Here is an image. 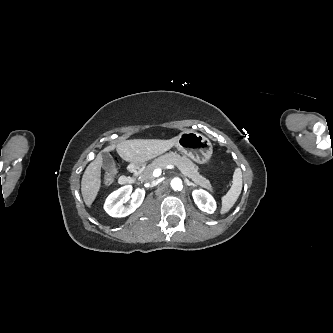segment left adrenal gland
Segmentation results:
<instances>
[{
	"instance_id": "a2214340",
	"label": "left adrenal gland",
	"mask_w": 333,
	"mask_h": 333,
	"mask_svg": "<svg viewBox=\"0 0 333 333\" xmlns=\"http://www.w3.org/2000/svg\"><path fill=\"white\" fill-rule=\"evenodd\" d=\"M185 182H186V184H187L188 186H193V187H196V186H197L196 184L190 182L187 178L185 179Z\"/></svg>"
}]
</instances>
